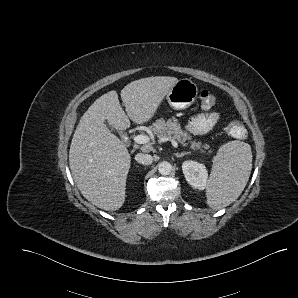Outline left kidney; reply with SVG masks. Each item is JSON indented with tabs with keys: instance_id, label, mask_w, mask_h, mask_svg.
I'll return each instance as SVG.
<instances>
[{
	"instance_id": "obj_1",
	"label": "left kidney",
	"mask_w": 298,
	"mask_h": 298,
	"mask_svg": "<svg viewBox=\"0 0 298 298\" xmlns=\"http://www.w3.org/2000/svg\"><path fill=\"white\" fill-rule=\"evenodd\" d=\"M182 172L189 185L195 189L204 190L208 179V171L204 164L194 160L182 163Z\"/></svg>"
}]
</instances>
